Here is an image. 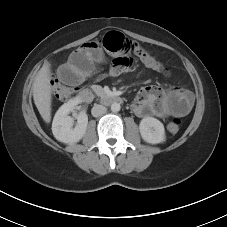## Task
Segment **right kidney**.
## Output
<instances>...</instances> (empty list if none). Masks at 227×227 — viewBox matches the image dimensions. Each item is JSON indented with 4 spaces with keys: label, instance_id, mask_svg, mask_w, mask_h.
Here are the masks:
<instances>
[{
    "label": "right kidney",
    "instance_id": "1",
    "mask_svg": "<svg viewBox=\"0 0 227 227\" xmlns=\"http://www.w3.org/2000/svg\"><path fill=\"white\" fill-rule=\"evenodd\" d=\"M80 102L81 99L78 97L70 99L56 112L52 123V133L58 141L65 144H73L79 142L85 135L88 124V117L85 111H81L78 114L75 128H73V118L68 116Z\"/></svg>",
    "mask_w": 227,
    "mask_h": 227
}]
</instances>
